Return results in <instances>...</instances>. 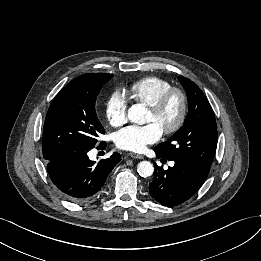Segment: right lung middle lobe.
Here are the masks:
<instances>
[{
	"instance_id": "right-lung-middle-lobe-1",
	"label": "right lung middle lobe",
	"mask_w": 261,
	"mask_h": 261,
	"mask_svg": "<svg viewBox=\"0 0 261 261\" xmlns=\"http://www.w3.org/2000/svg\"><path fill=\"white\" fill-rule=\"evenodd\" d=\"M113 74L78 76L53 99L43 128V157L54 160L66 154L95 147L105 130L97 118L95 102L102 85Z\"/></svg>"
}]
</instances>
